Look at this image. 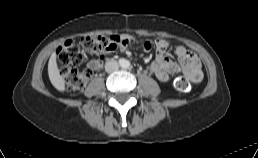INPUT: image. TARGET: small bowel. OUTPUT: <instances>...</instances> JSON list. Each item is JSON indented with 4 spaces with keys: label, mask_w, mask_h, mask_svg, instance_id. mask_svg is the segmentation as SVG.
<instances>
[{
    "label": "small bowel",
    "mask_w": 258,
    "mask_h": 158,
    "mask_svg": "<svg viewBox=\"0 0 258 158\" xmlns=\"http://www.w3.org/2000/svg\"><path fill=\"white\" fill-rule=\"evenodd\" d=\"M122 37L132 40L135 39L131 35H123ZM169 46V41L166 39H157L155 41H146L143 43L145 52H156V58L148 66V71L161 82H168L172 74L185 73V75L193 82L201 81L203 77L201 64L198 57L185 48L184 46H176L175 53L178 57V62L171 60L166 55V50ZM127 45H121L119 50L124 51ZM104 56L98 59H92L88 62V67L92 70L102 68Z\"/></svg>",
    "instance_id": "c3829d8e"
}]
</instances>
